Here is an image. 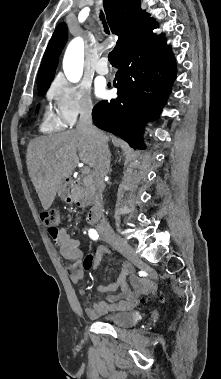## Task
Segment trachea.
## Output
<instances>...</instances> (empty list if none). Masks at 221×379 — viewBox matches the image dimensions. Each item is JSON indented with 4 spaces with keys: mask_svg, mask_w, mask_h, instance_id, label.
<instances>
[{
    "mask_svg": "<svg viewBox=\"0 0 221 379\" xmlns=\"http://www.w3.org/2000/svg\"><path fill=\"white\" fill-rule=\"evenodd\" d=\"M100 17H101V20L103 21V24H104V27H105V31H106V33H109V30H108V27H107V23L105 22L104 14L101 13ZM108 60H109V62L111 63V65H117L116 49H113V50L109 53V55H108Z\"/></svg>",
    "mask_w": 221,
    "mask_h": 379,
    "instance_id": "3493384b",
    "label": "trachea"
}]
</instances>
